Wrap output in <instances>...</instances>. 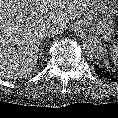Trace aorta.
<instances>
[{
    "label": "aorta",
    "mask_w": 118,
    "mask_h": 118,
    "mask_svg": "<svg viewBox=\"0 0 118 118\" xmlns=\"http://www.w3.org/2000/svg\"><path fill=\"white\" fill-rule=\"evenodd\" d=\"M83 49L86 55L94 60L101 59L105 53L103 44L93 37H88L87 39H85V41L83 42Z\"/></svg>",
    "instance_id": "762f6f07"
}]
</instances>
